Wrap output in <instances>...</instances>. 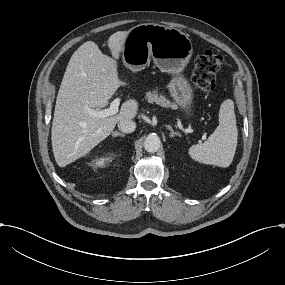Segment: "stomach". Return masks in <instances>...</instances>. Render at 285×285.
I'll list each match as a JSON object with an SVG mask.
<instances>
[{
    "mask_svg": "<svg viewBox=\"0 0 285 285\" xmlns=\"http://www.w3.org/2000/svg\"><path fill=\"white\" fill-rule=\"evenodd\" d=\"M192 55V42L184 32L152 23L134 27L122 51L123 62L130 70L143 69L151 56L157 68L170 75L166 86L169 96L188 121L195 117V89L184 70Z\"/></svg>",
    "mask_w": 285,
    "mask_h": 285,
    "instance_id": "obj_1",
    "label": "stomach"
}]
</instances>
